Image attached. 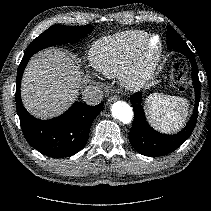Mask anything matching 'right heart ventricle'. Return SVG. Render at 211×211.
Listing matches in <instances>:
<instances>
[{
  "label": "right heart ventricle",
  "instance_id": "obj_1",
  "mask_svg": "<svg viewBox=\"0 0 211 211\" xmlns=\"http://www.w3.org/2000/svg\"><path fill=\"white\" fill-rule=\"evenodd\" d=\"M147 34L144 30L134 29L95 41L89 52L93 67L104 76L112 77L118 74Z\"/></svg>",
  "mask_w": 211,
  "mask_h": 211
}]
</instances>
